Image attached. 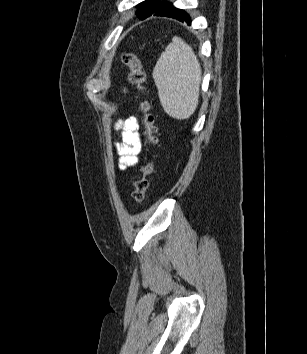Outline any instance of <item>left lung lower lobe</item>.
Masks as SVG:
<instances>
[{
	"instance_id": "left-lung-lower-lobe-1",
	"label": "left lung lower lobe",
	"mask_w": 307,
	"mask_h": 354,
	"mask_svg": "<svg viewBox=\"0 0 307 354\" xmlns=\"http://www.w3.org/2000/svg\"><path fill=\"white\" fill-rule=\"evenodd\" d=\"M153 15L171 17L181 22L185 21L188 25H191L189 15L185 11L175 8L171 3H167L160 11Z\"/></svg>"
}]
</instances>
